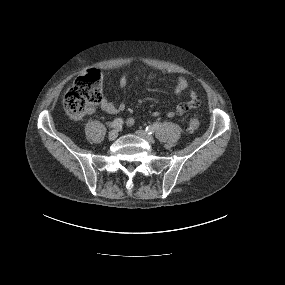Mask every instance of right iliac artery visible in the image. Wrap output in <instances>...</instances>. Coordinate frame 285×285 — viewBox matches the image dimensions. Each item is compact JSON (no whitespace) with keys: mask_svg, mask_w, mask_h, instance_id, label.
Instances as JSON below:
<instances>
[{"mask_svg":"<svg viewBox=\"0 0 285 285\" xmlns=\"http://www.w3.org/2000/svg\"><path fill=\"white\" fill-rule=\"evenodd\" d=\"M122 125H123V120L121 118H117L110 124V128L118 129L122 127Z\"/></svg>","mask_w":285,"mask_h":285,"instance_id":"82829eb1","label":"right iliac artery"}]
</instances>
